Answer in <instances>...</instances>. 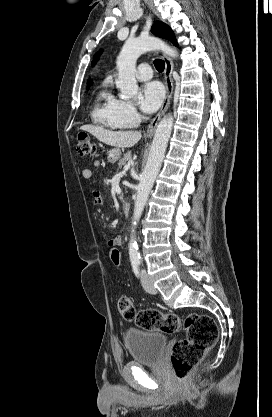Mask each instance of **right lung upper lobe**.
Returning <instances> with one entry per match:
<instances>
[{"instance_id":"right-lung-upper-lobe-1","label":"right lung upper lobe","mask_w":272,"mask_h":417,"mask_svg":"<svg viewBox=\"0 0 272 417\" xmlns=\"http://www.w3.org/2000/svg\"><path fill=\"white\" fill-rule=\"evenodd\" d=\"M92 84L91 80H88V86H90Z\"/></svg>"}]
</instances>
